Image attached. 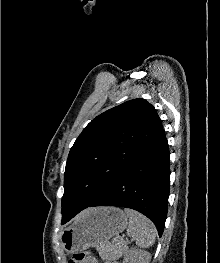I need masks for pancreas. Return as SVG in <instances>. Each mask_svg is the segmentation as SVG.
Wrapping results in <instances>:
<instances>
[{
  "label": "pancreas",
  "instance_id": "obj_1",
  "mask_svg": "<svg viewBox=\"0 0 220 263\" xmlns=\"http://www.w3.org/2000/svg\"><path fill=\"white\" fill-rule=\"evenodd\" d=\"M122 250L123 246L116 242L113 244H105L98 249L101 258L106 259L108 261L120 257Z\"/></svg>",
  "mask_w": 220,
  "mask_h": 263
}]
</instances>
